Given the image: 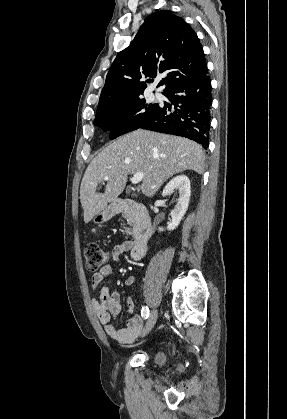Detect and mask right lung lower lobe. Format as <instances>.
Listing matches in <instances>:
<instances>
[{
	"instance_id": "98d812e1",
	"label": "right lung lower lobe",
	"mask_w": 287,
	"mask_h": 419,
	"mask_svg": "<svg viewBox=\"0 0 287 419\" xmlns=\"http://www.w3.org/2000/svg\"><path fill=\"white\" fill-rule=\"evenodd\" d=\"M211 80L208 71L167 89L163 95L170 103L158 105L139 127L192 139L205 149L209 146Z\"/></svg>"
}]
</instances>
